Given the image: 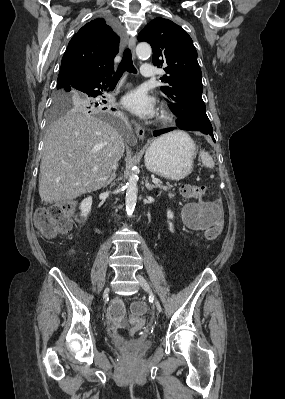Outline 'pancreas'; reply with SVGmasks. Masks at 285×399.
<instances>
[{
	"label": "pancreas",
	"mask_w": 285,
	"mask_h": 399,
	"mask_svg": "<svg viewBox=\"0 0 285 399\" xmlns=\"http://www.w3.org/2000/svg\"><path fill=\"white\" fill-rule=\"evenodd\" d=\"M155 187H156V188H159V189H162V190L165 191V192H170L171 190H174V189H173V186L170 185V184L162 185L161 183H158V184H156Z\"/></svg>",
	"instance_id": "obj_1"
}]
</instances>
